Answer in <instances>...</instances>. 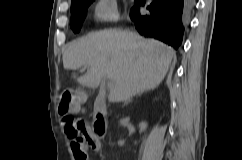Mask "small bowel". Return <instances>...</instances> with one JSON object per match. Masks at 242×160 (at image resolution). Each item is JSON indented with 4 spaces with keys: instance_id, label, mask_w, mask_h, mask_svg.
I'll list each match as a JSON object with an SVG mask.
<instances>
[{
    "instance_id": "1",
    "label": "small bowel",
    "mask_w": 242,
    "mask_h": 160,
    "mask_svg": "<svg viewBox=\"0 0 242 160\" xmlns=\"http://www.w3.org/2000/svg\"><path fill=\"white\" fill-rule=\"evenodd\" d=\"M80 111L81 109L77 110V112H80ZM95 143L97 144L98 141L92 135L90 128H86V140L81 143L80 151L83 153H86V149L93 148ZM72 149H73V152L75 153L76 160H79V157H78L79 150H77L73 145H72Z\"/></svg>"
}]
</instances>
